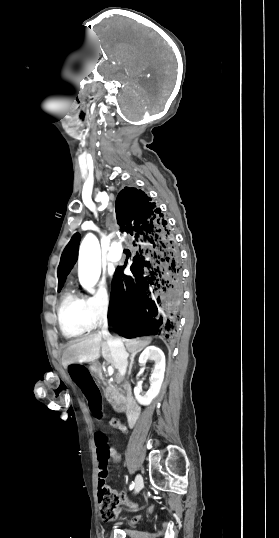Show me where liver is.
Segmentation results:
<instances>
[{
	"label": "liver",
	"mask_w": 279,
	"mask_h": 538,
	"mask_svg": "<svg viewBox=\"0 0 279 538\" xmlns=\"http://www.w3.org/2000/svg\"><path fill=\"white\" fill-rule=\"evenodd\" d=\"M102 338V334H88L81 340H74L67 350L70 358L69 364H74V362H95L100 358V350L104 360H107L108 364H113L110 348L107 342H102ZM121 342H125L128 352H140V350L151 344V338H146V340H139V338L125 340V338H122Z\"/></svg>",
	"instance_id": "liver-1"
}]
</instances>
